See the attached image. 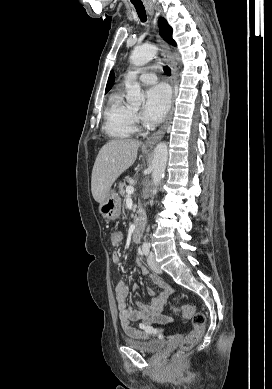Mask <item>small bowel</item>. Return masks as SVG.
Segmentation results:
<instances>
[{"instance_id": "small-bowel-1", "label": "small bowel", "mask_w": 272, "mask_h": 389, "mask_svg": "<svg viewBox=\"0 0 272 389\" xmlns=\"http://www.w3.org/2000/svg\"><path fill=\"white\" fill-rule=\"evenodd\" d=\"M112 260L115 263H122L121 255L114 252ZM145 276L159 287V291L154 293L150 291L153 296L150 304L143 302H136L133 305H127V297L129 294L128 285L124 280L117 282L115 286L116 302L119 310V317L121 326L124 332L135 339H148L158 333L157 325L165 324L170 321V318L163 314L165 303L171 294L170 285L162 280L159 276L149 273L145 268L142 269ZM136 289V286L134 287ZM138 322V327L134 323Z\"/></svg>"}]
</instances>
